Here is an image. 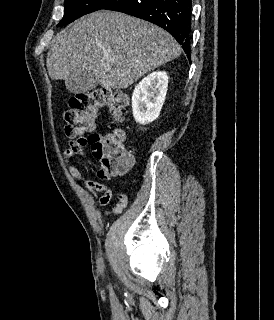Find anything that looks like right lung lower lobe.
<instances>
[{
	"label": "right lung lower lobe",
	"instance_id": "98d812e1",
	"mask_svg": "<svg viewBox=\"0 0 274 320\" xmlns=\"http://www.w3.org/2000/svg\"><path fill=\"white\" fill-rule=\"evenodd\" d=\"M103 9L123 12L167 30L190 60L191 0H115Z\"/></svg>",
	"mask_w": 274,
	"mask_h": 320
}]
</instances>
